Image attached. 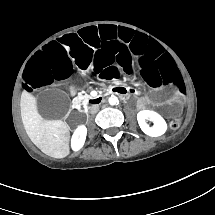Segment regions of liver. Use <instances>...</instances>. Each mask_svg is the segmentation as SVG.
<instances>
[{"instance_id":"obj_1","label":"liver","mask_w":215,"mask_h":215,"mask_svg":"<svg viewBox=\"0 0 215 215\" xmlns=\"http://www.w3.org/2000/svg\"><path fill=\"white\" fill-rule=\"evenodd\" d=\"M20 104L22 123L30 140L49 156L62 158L68 155L70 152L68 125L61 120L43 119L26 92L22 93Z\"/></svg>"}]
</instances>
